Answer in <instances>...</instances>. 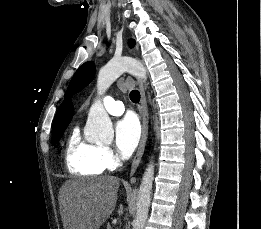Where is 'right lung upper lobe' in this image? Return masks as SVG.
<instances>
[{"label":"right lung upper lobe","instance_id":"right-lung-upper-lobe-1","mask_svg":"<svg viewBox=\"0 0 261 229\" xmlns=\"http://www.w3.org/2000/svg\"><path fill=\"white\" fill-rule=\"evenodd\" d=\"M73 116V105L70 98H67L60 105L56 116L53 121V125L68 124Z\"/></svg>","mask_w":261,"mask_h":229}]
</instances>
